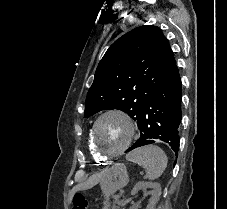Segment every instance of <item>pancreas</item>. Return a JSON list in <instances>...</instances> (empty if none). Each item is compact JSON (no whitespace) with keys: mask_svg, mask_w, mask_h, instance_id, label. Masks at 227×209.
I'll use <instances>...</instances> for the list:
<instances>
[{"mask_svg":"<svg viewBox=\"0 0 227 209\" xmlns=\"http://www.w3.org/2000/svg\"><path fill=\"white\" fill-rule=\"evenodd\" d=\"M114 203L111 204V208L110 209H118V207L120 206L118 203H119V200L117 199V197H114Z\"/></svg>","mask_w":227,"mask_h":209,"instance_id":"obj_1","label":"pancreas"}]
</instances>
